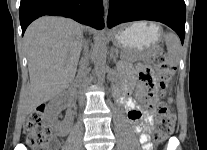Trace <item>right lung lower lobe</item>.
Segmentation results:
<instances>
[{
	"instance_id": "1",
	"label": "right lung lower lobe",
	"mask_w": 207,
	"mask_h": 150,
	"mask_svg": "<svg viewBox=\"0 0 207 150\" xmlns=\"http://www.w3.org/2000/svg\"><path fill=\"white\" fill-rule=\"evenodd\" d=\"M19 15L22 35L32 21L44 15L69 17L96 29L104 27L102 0H21Z\"/></svg>"
}]
</instances>
